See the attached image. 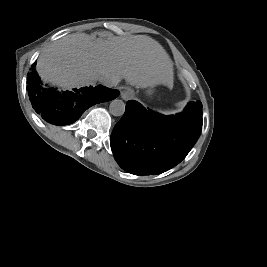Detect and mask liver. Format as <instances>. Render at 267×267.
<instances>
[{
    "label": "liver",
    "mask_w": 267,
    "mask_h": 267,
    "mask_svg": "<svg viewBox=\"0 0 267 267\" xmlns=\"http://www.w3.org/2000/svg\"><path fill=\"white\" fill-rule=\"evenodd\" d=\"M36 70L46 82L64 88L87 86L101 75L146 88L173 83V63L165 49L146 35L93 39L74 33L48 45Z\"/></svg>",
    "instance_id": "1"
}]
</instances>
